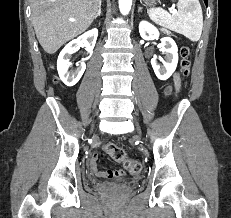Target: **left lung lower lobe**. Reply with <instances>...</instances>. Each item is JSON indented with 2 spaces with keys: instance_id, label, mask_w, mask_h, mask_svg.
I'll return each mask as SVG.
<instances>
[{
  "instance_id": "0a47b994",
  "label": "left lung lower lobe",
  "mask_w": 231,
  "mask_h": 218,
  "mask_svg": "<svg viewBox=\"0 0 231 218\" xmlns=\"http://www.w3.org/2000/svg\"><path fill=\"white\" fill-rule=\"evenodd\" d=\"M207 1H208V0H204V2H205L206 5H207Z\"/></svg>"
}]
</instances>
